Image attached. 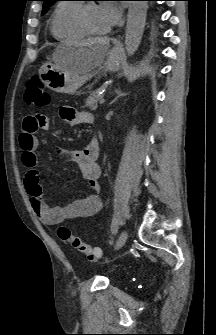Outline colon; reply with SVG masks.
<instances>
[{"mask_svg":"<svg viewBox=\"0 0 216 335\" xmlns=\"http://www.w3.org/2000/svg\"><path fill=\"white\" fill-rule=\"evenodd\" d=\"M25 99L28 104L38 109H43L50 104L51 97L44 89L41 80L34 76L26 82ZM59 238L68 243L74 250L84 255L88 260L95 261L101 256V250L84 242L72 234L66 226H60L57 230Z\"/></svg>","mask_w":216,"mask_h":335,"instance_id":"5ec220e1","label":"colon"}]
</instances>
